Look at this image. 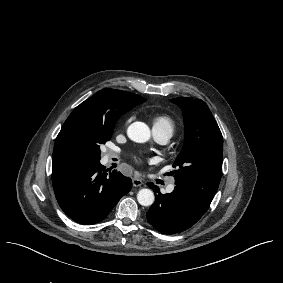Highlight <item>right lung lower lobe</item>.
Returning a JSON list of instances; mask_svg holds the SVG:
<instances>
[{"instance_id":"98d812e1","label":"right lung lower lobe","mask_w":283,"mask_h":283,"mask_svg":"<svg viewBox=\"0 0 283 283\" xmlns=\"http://www.w3.org/2000/svg\"><path fill=\"white\" fill-rule=\"evenodd\" d=\"M100 162L84 167L63 179L53 181L62 210L80 224H95L106 218L132 181L116 170L108 175Z\"/></svg>"}]
</instances>
